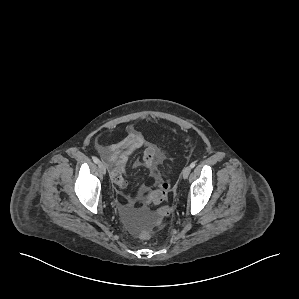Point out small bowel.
<instances>
[{
    "label": "small bowel",
    "mask_w": 299,
    "mask_h": 299,
    "mask_svg": "<svg viewBox=\"0 0 299 299\" xmlns=\"http://www.w3.org/2000/svg\"><path fill=\"white\" fill-rule=\"evenodd\" d=\"M98 149L102 158L109 164L111 179L118 187L119 193L124 199V202L120 204V209L128 219H131L138 211L136 208L137 201L148 202L151 190L145 185L138 189L136 195L131 194L127 190V182L123 174L125 173L129 156L135 150L143 149L142 158L136 159L132 167L138 168L144 166L153 174H156L157 164L164 161V153L139 130L130 131L117 143L99 145Z\"/></svg>",
    "instance_id": "1"
}]
</instances>
